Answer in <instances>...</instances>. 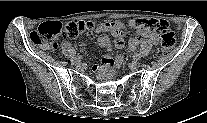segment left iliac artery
I'll use <instances>...</instances> for the list:
<instances>
[{"instance_id":"left-iliac-artery-1","label":"left iliac artery","mask_w":207,"mask_h":123,"mask_svg":"<svg viewBox=\"0 0 207 123\" xmlns=\"http://www.w3.org/2000/svg\"><path fill=\"white\" fill-rule=\"evenodd\" d=\"M140 58H141V56H140V54H134L133 55V59L135 60V61H138V60H140Z\"/></svg>"}]
</instances>
